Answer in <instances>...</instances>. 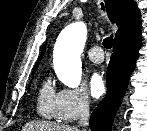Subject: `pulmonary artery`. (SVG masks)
<instances>
[{"instance_id":"1","label":"pulmonary artery","mask_w":147,"mask_h":131,"mask_svg":"<svg viewBox=\"0 0 147 131\" xmlns=\"http://www.w3.org/2000/svg\"><path fill=\"white\" fill-rule=\"evenodd\" d=\"M88 57L94 63H101L104 60L102 48L100 46L92 47L88 52Z\"/></svg>"}]
</instances>
